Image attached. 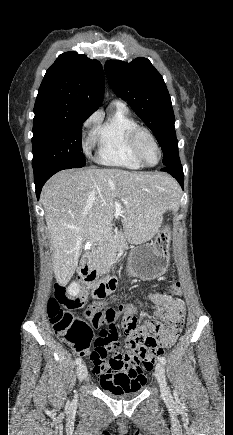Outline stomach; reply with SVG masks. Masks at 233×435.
Masks as SVG:
<instances>
[{
  "label": "stomach",
  "mask_w": 233,
  "mask_h": 435,
  "mask_svg": "<svg viewBox=\"0 0 233 435\" xmlns=\"http://www.w3.org/2000/svg\"><path fill=\"white\" fill-rule=\"evenodd\" d=\"M171 226L163 225L151 244L132 249L128 258L127 274L144 280L155 279L166 273L170 258Z\"/></svg>",
  "instance_id": "stomach-1"
}]
</instances>
